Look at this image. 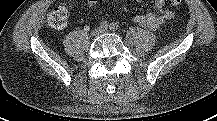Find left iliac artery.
I'll use <instances>...</instances> for the list:
<instances>
[{
    "mask_svg": "<svg viewBox=\"0 0 217 121\" xmlns=\"http://www.w3.org/2000/svg\"><path fill=\"white\" fill-rule=\"evenodd\" d=\"M109 28L112 31H116L118 29V24L113 22V23L110 24Z\"/></svg>",
    "mask_w": 217,
    "mask_h": 121,
    "instance_id": "left-iliac-artery-1",
    "label": "left iliac artery"
}]
</instances>
